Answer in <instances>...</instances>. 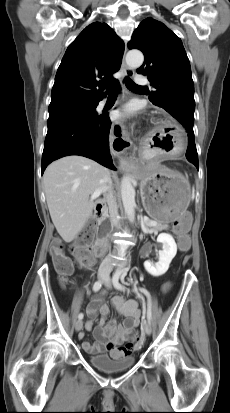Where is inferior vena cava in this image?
Returning <instances> with one entry per match:
<instances>
[{
  "label": "inferior vena cava",
  "instance_id": "inferior-vena-cava-1",
  "mask_svg": "<svg viewBox=\"0 0 230 413\" xmlns=\"http://www.w3.org/2000/svg\"><path fill=\"white\" fill-rule=\"evenodd\" d=\"M105 181L108 184H111V177L110 174L105 178ZM107 203L109 206V214H110V221L111 225L114 227H118L120 225L119 220H118V205L116 202L115 197L113 196L112 192H108L106 195ZM113 268V259L112 257H107L103 260V262L100 265L99 272H105L109 274L112 271Z\"/></svg>",
  "mask_w": 230,
  "mask_h": 413
}]
</instances>
